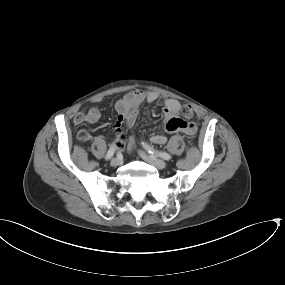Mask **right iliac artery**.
Instances as JSON below:
<instances>
[{"mask_svg":"<svg viewBox=\"0 0 285 285\" xmlns=\"http://www.w3.org/2000/svg\"><path fill=\"white\" fill-rule=\"evenodd\" d=\"M115 146L113 145V146H111L110 147V149L108 150V152H107V154H106V157H105V159L106 160H110L112 157H113V155H114V153H115Z\"/></svg>","mask_w":285,"mask_h":285,"instance_id":"right-iliac-artery-1","label":"right iliac artery"}]
</instances>
